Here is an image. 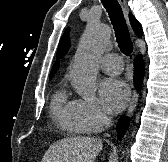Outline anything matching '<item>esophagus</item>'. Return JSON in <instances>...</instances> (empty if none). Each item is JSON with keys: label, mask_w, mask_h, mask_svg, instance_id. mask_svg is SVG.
<instances>
[{"label": "esophagus", "mask_w": 168, "mask_h": 162, "mask_svg": "<svg viewBox=\"0 0 168 162\" xmlns=\"http://www.w3.org/2000/svg\"><path fill=\"white\" fill-rule=\"evenodd\" d=\"M118 1L124 11L125 16L127 17L128 16V8H127L126 0H118ZM137 102H138V94L136 91H134L130 106H129L128 111L126 113L127 116H130L133 114V112L136 108Z\"/></svg>", "instance_id": "obj_1"}]
</instances>
